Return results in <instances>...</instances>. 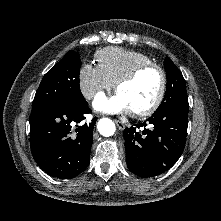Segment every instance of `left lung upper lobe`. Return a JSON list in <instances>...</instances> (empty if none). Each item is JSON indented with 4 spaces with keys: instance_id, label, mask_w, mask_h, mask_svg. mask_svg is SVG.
<instances>
[{
    "instance_id": "1",
    "label": "left lung upper lobe",
    "mask_w": 221,
    "mask_h": 221,
    "mask_svg": "<svg viewBox=\"0 0 221 221\" xmlns=\"http://www.w3.org/2000/svg\"><path fill=\"white\" fill-rule=\"evenodd\" d=\"M167 86L164 99L155 112L165 110L178 101L188 100L184 78L169 57L164 60Z\"/></svg>"
}]
</instances>
